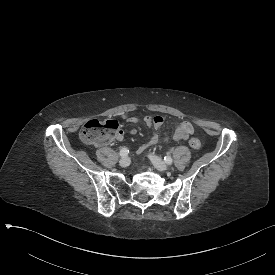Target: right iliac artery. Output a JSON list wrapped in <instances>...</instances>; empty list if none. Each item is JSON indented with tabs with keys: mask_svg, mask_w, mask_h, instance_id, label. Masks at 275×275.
Segmentation results:
<instances>
[{
	"mask_svg": "<svg viewBox=\"0 0 275 275\" xmlns=\"http://www.w3.org/2000/svg\"><path fill=\"white\" fill-rule=\"evenodd\" d=\"M128 153H129V149L126 148V147H123V148L120 150V156H122V157L127 156Z\"/></svg>",
	"mask_w": 275,
	"mask_h": 275,
	"instance_id": "82829eb1",
	"label": "right iliac artery"
}]
</instances>
